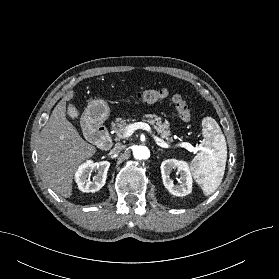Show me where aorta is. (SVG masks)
<instances>
[{"label": "aorta", "instance_id": "obj_1", "mask_svg": "<svg viewBox=\"0 0 279 279\" xmlns=\"http://www.w3.org/2000/svg\"><path fill=\"white\" fill-rule=\"evenodd\" d=\"M133 155L135 159L138 160L148 159L150 156V151L146 146H137L133 150Z\"/></svg>", "mask_w": 279, "mask_h": 279}]
</instances>
